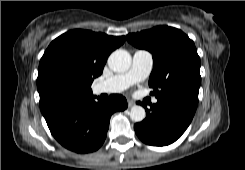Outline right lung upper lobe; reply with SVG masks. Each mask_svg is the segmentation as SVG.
<instances>
[{
  "label": "right lung upper lobe",
  "instance_id": "obj_1",
  "mask_svg": "<svg viewBox=\"0 0 245 170\" xmlns=\"http://www.w3.org/2000/svg\"><path fill=\"white\" fill-rule=\"evenodd\" d=\"M124 36H108L87 30H71L51 42L38 69L40 107L47 120L63 107L92 95L93 79L101 75L110 53L121 46ZM60 82L72 89L60 92Z\"/></svg>",
  "mask_w": 245,
  "mask_h": 170
}]
</instances>
